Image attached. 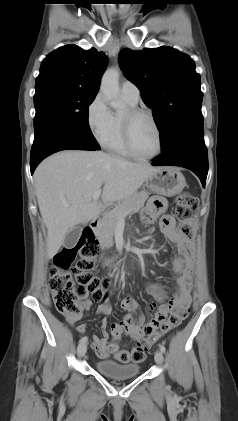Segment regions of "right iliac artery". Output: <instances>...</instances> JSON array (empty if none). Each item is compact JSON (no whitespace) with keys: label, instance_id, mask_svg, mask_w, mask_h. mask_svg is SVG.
Instances as JSON below:
<instances>
[{"label":"right iliac artery","instance_id":"1","mask_svg":"<svg viewBox=\"0 0 238 421\" xmlns=\"http://www.w3.org/2000/svg\"><path fill=\"white\" fill-rule=\"evenodd\" d=\"M88 340V338L87 337H82L81 339H80V342H86Z\"/></svg>","mask_w":238,"mask_h":421}]
</instances>
